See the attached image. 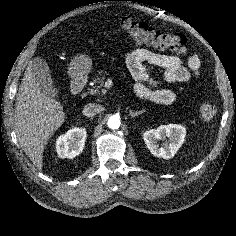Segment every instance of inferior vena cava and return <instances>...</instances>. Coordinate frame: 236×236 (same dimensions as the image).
<instances>
[{
  "mask_svg": "<svg viewBox=\"0 0 236 236\" xmlns=\"http://www.w3.org/2000/svg\"><path fill=\"white\" fill-rule=\"evenodd\" d=\"M102 110L103 108L99 104L89 103L84 106L82 113L84 116L91 117L99 114Z\"/></svg>",
  "mask_w": 236,
  "mask_h": 236,
  "instance_id": "obj_1",
  "label": "inferior vena cava"
}]
</instances>
